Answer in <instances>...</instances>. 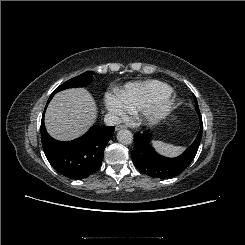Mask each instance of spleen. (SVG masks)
Wrapping results in <instances>:
<instances>
[{
	"label": "spleen",
	"instance_id": "spleen-1",
	"mask_svg": "<svg viewBox=\"0 0 245 245\" xmlns=\"http://www.w3.org/2000/svg\"><path fill=\"white\" fill-rule=\"evenodd\" d=\"M152 146L154 147V149L164 155V156H168V157H175L178 156L179 154H181L184 150V147L181 146H174L172 144H168L162 141H152Z\"/></svg>",
	"mask_w": 245,
	"mask_h": 245
}]
</instances>
